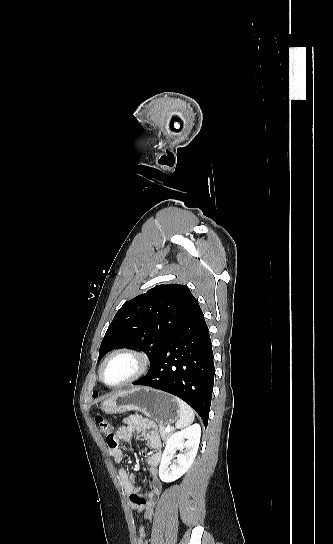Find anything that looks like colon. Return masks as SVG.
I'll return each instance as SVG.
<instances>
[{"instance_id":"1","label":"colon","mask_w":333,"mask_h":544,"mask_svg":"<svg viewBox=\"0 0 333 544\" xmlns=\"http://www.w3.org/2000/svg\"><path fill=\"white\" fill-rule=\"evenodd\" d=\"M95 423L98 426L100 432L109 438L111 436V426L108 420L101 414L95 416Z\"/></svg>"}]
</instances>
